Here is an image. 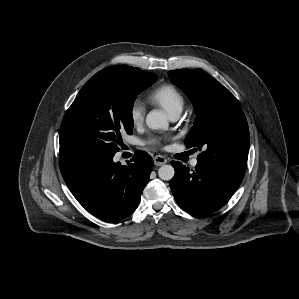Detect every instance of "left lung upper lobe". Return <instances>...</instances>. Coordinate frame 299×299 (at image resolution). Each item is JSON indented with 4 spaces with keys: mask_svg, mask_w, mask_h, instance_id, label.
I'll return each mask as SVG.
<instances>
[{
    "mask_svg": "<svg viewBox=\"0 0 299 299\" xmlns=\"http://www.w3.org/2000/svg\"><path fill=\"white\" fill-rule=\"evenodd\" d=\"M168 75L189 97L197 114L185 139L187 148L202 150L197 161L245 173L250 136L246 117L234 95L199 70L180 69Z\"/></svg>",
    "mask_w": 299,
    "mask_h": 299,
    "instance_id": "5c2ea615",
    "label": "left lung upper lobe"
}]
</instances>
